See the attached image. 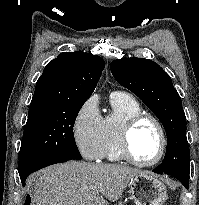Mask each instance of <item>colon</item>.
Instances as JSON below:
<instances>
[{
	"label": "colon",
	"mask_w": 199,
	"mask_h": 205,
	"mask_svg": "<svg viewBox=\"0 0 199 205\" xmlns=\"http://www.w3.org/2000/svg\"><path fill=\"white\" fill-rule=\"evenodd\" d=\"M25 205H31L30 200H27V202L25 203Z\"/></svg>",
	"instance_id": "obj_1"
}]
</instances>
